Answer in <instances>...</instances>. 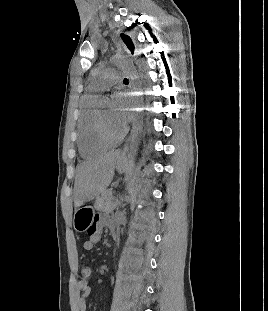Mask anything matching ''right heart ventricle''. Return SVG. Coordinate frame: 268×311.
I'll return each instance as SVG.
<instances>
[{
  "mask_svg": "<svg viewBox=\"0 0 268 311\" xmlns=\"http://www.w3.org/2000/svg\"><path fill=\"white\" fill-rule=\"evenodd\" d=\"M97 95L88 94L82 100L78 118V148L82 157H93L106 149L112 144L102 141L96 132V107Z\"/></svg>",
  "mask_w": 268,
  "mask_h": 311,
  "instance_id": "e07e8e85",
  "label": "right heart ventricle"
}]
</instances>
